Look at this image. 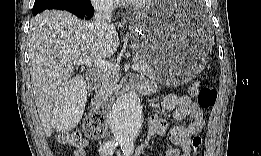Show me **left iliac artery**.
I'll return each instance as SVG.
<instances>
[{
  "label": "left iliac artery",
  "mask_w": 261,
  "mask_h": 156,
  "mask_svg": "<svg viewBox=\"0 0 261 156\" xmlns=\"http://www.w3.org/2000/svg\"><path fill=\"white\" fill-rule=\"evenodd\" d=\"M120 146L124 155H131L134 149V143L132 139H121Z\"/></svg>",
  "instance_id": "obj_1"
}]
</instances>
